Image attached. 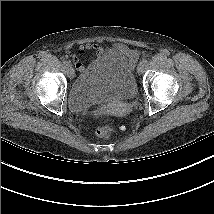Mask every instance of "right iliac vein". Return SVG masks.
I'll return each instance as SVG.
<instances>
[{"label": "right iliac vein", "instance_id": "63e3f726", "mask_svg": "<svg viewBox=\"0 0 214 214\" xmlns=\"http://www.w3.org/2000/svg\"><path fill=\"white\" fill-rule=\"evenodd\" d=\"M67 68H68V72H69V77L73 78L74 77V70H73L71 64L67 65Z\"/></svg>", "mask_w": 214, "mask_h": 214}]
</instances>
